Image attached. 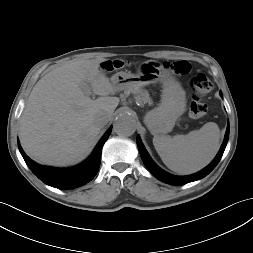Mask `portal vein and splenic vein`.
<instances>
[{
  "label": "portal vein and splenic vein",
  "mask_w": 253,
  "mask_h": 253,
  "mask_svg": "<svg viewBox=\"0 0 253 253\" xmlns=\"http://www.w3.org/2000/svg\"><path fill=\"white\" fill-rule=\"evenodd\" d=\"M82 89L86 95H91V89L87 84H83Z\"/></svg>",
  "instance_id": "18ae733b"
}]
</instances>
